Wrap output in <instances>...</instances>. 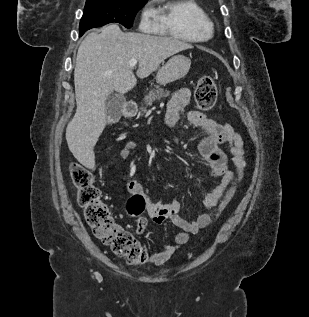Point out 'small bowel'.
<instances>
[{
	"label": "small bowel",
	"instance_id": "1",
	"mask_svg": "<svg viewBox=\"0 0 309 317\" xmlns=\"http://www.w3.org/2000/svg\"><path fill=\"white\" fill-rule=\"evenodd\" d=\"M190 99V92L186 88L177 90L167 104L166 123L174 126L179 120L180 110L187 105ZM190 125L199 129L202 133L197 148L210 168V177L218 179L219 183L205 196L203 203L208 212L200 214L195 220L189 221L179 216L181 204L177 200L166 204H158L151 200L147 202L146 215L139 216L137 227L143 233L147 227L148 218L161 224L170 220L175 226L181 229L176 235L172 245L165 246L162 251L153 253L148 257L150 263L161 265L165 263L180 247L185 245L191 234L198 233L208 226L218 213V205L221 201L230 197L235 191L238 182L242 178L246 162L244 159L243 140L241 136L228 123H218L206 115L190 111L187 114ZM226 145L228 154L232 157L235 171L228 169V155L222 149ZM136 147L134 142H129L122 150L123 158H128ZM125 186L133 195H140L143 187L140 183L132 180L130 176L125 177ZM227 190V193H226Z\"/></svg>",
	"mask_w": 309,
	"mask_h": 317
}]
</instances>
